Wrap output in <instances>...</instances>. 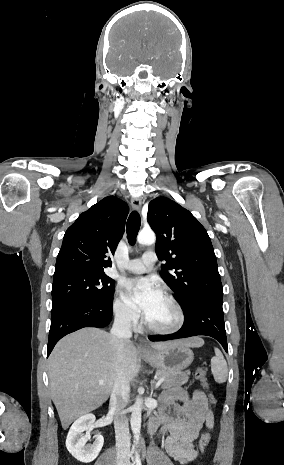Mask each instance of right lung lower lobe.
Listing matches in <instances>:
<instances>
[{
  "label": "right lung lower lobe",
  "instance_id": "98d812e1",
  "mask_svg": "<svg viewBox=\"0 0 284 465\" xmlns=\"http://www.w3.org/2000/svg\"><path fill=\"white\" fill-rule=\"evenodd\" d=\"M113 298L107 301L72 300L52 310L47 357L65 335L83 327H105L112 319Z\"/></svg>",
  "mask_w": 284,
  "mask_h": 465
}]
</instances>
